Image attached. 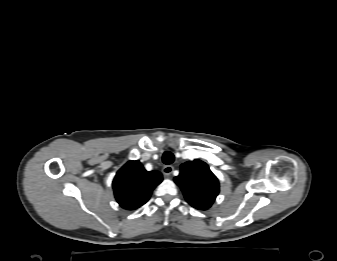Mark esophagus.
<instances>
[{"mask_svg": "<svg viewBox=\"0 0 337 261\" xmlns=\"http://www.w3.org/2000/svg\"><path fill=\"white\" fill-rule=\"evenodd\" d=\"M173 170H174L173 166L166 165V166L163 167L162 173L165 177H169L172 174Z\"/></svg>", "mask_w": 337, "mask_h": 261, "instance_id": "1", "label": "esophagus"}]
</instances>
